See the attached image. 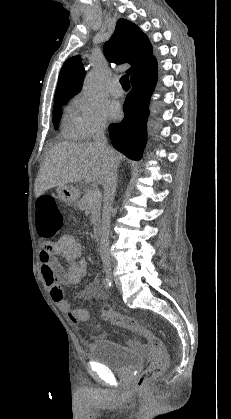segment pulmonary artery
<instances>
[{"mask_svg": "<svg viewBox=\"0 0 231 419\" xmlns=\"http://www.w3.org/2000/svg\"><path fill=\"white\" fill-rule=\"evenodd\" d=\"M109 91L114 97H119L123 94V89L117 80L110 84Z\"/></svg>", "mask_w": 231, "mask_h": 419, "instance_id": "obj_1", "label": "pulmonary artery"}]
</instances>
